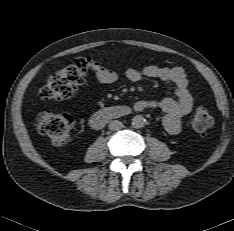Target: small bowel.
I'll return each mask as SVG.
<instances>
[{"label":"small bowel","mask_w":234,"mask_h":231,"mask_svg":"<svg viewBox=\"0 0 234 231\" xmlns=\"http://www.w3.org/2000/svg\"><path fill=\"white\" fill-rule=\"evenodd\" d=\"M98 80L105 84H113L118 80L116 72L96 65L94 68ZM126 77L131 82H140L142 79L155 78L174 86L175 98L162 100L145 99L134 103L135 111L158 109L165 113L162 119L165 130L172 134L181 131L184 117L191 111L193 98L189 91L187 75L181 67H162L147 65L142 69L129 68Z\"/></svg>","instance_id":"small-bowel-1"}]
</instances>
